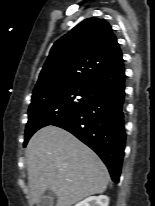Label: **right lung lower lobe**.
<instances>
[{
    "label": "right lung lower lobe",
    "instance_id": "obj_1",
    "mask_svg": "<svg viewBox=\"0 0 155 206\" xmlns=\"http://www.w3.org/2000/svg\"><path fill=\"white\" fill-rule=\"evenodd\" d=\"M125 77L100 91L99 95L78 112L54 124L63 128L93 149L118 183L124 157Z\"/></svg>",
    "mask_w": 155,
    "mask_h": 206
}]
</instances>
